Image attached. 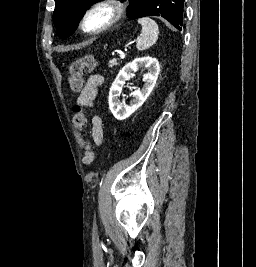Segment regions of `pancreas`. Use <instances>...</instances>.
Segmentation results:
<instances>
[{"label": "pancreas", "instance_id": "cf45deb5", "mask_svg": "<svg viewBox=\"0 0 256 267\" xmlns=\"http://www.w3.org/2000/svg\"><path fill=\"white\" fill-rule=\"evenodd\" d=\"M108 64H109V68H112V66H118L116 60H109Z\"/></svg>", "mask_w": 256, "mask_h": 267}]
</instances>
